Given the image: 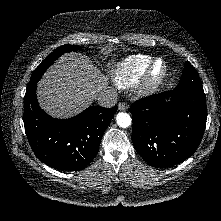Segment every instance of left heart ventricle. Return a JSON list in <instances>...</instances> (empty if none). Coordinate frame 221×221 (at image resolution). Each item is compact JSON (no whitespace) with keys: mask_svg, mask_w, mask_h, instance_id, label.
Here are the masks:
<instances>
[{"mask_svg":"<svg viewBox=\"0 0 221 221\" xmlns=\"http://www.w3.org/2000/svg\"><path fill=\"white\" fill-rule=\"evenodd\" d=\"M161 70V64H158L155 68V72L158 73Z\"/></svg>","mask_w":221,"mask_h":221,"instance_id":"left-heart-ventricle-1","label":"left heart ventricle"}]
</instances>
